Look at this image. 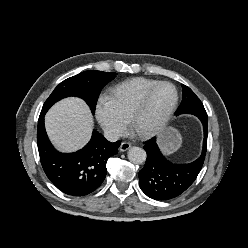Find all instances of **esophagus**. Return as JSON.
<instances>
[{"instance_id":"34e87169","label":"esophagus","mask_w":248,"mask_h":248,"mask_svg":"<svg viewBox=\"0 0 248 248\" xmlns=\"http://www.w3.org/2000/svg\"><path fill=\"white\" fill-rule=\"evenodd\" d=\"M130 147H131V143L125 141V142H122V143H121L119 149H120L121 152H125V151H127Z\"/></svg>"}]
</instances>
